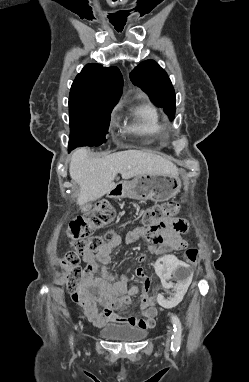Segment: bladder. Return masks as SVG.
Here are the masks:
<instances>
[{
    "label": "bladder",
    "instance_id": "31cf9c89",
    "mask_svg": "<svg viewBox=\"0 0 249 382\" xmlns=\"http://www.w3.org/2000/svg\"><path fill=\"white\" fill-rule=\"evenodd\" d=\"M104 338L116 342H138L146 337L147 332L140 327L128 324L109 323L101 329Z\"/></svg>",
    "mask_w": 249,
    "mask_h": 382
}]
</instances>
